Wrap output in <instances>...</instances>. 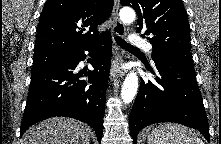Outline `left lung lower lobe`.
<instances>
[{"label": "left lung lower lobe", "instance_id": "0a47b994", "mask_svg": "<svg viewBox=\"0 0 221 144\" xmlns=\"http://www.w3.org/2000/svg\"><path fill=\"white\" fill-rule=\"evenodd\" d=\"M155 81L141 80L132 107L129 127L133 141L145 126L159 122H175L200 131L209 141V124L202 96L196 84L194 66L169 60H153Z\"/></svg>", "mask_w": 221, "mask_h": 144}]
</instances>
